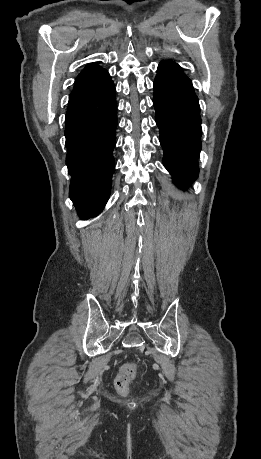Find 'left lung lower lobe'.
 Segmentation results:
<instances>
[{
    "instance_id": "obj_1",
    "label": "left lung lower lobe",
    "mask_w": 261,
    "mask_h": 459,
    "mask_svg": "<svg viewBox=\"0 0 261 459\" xmlns=\"http://www.w3.org/2000/svg\"><path fill=\"white\" fill-rule=\"evenodd\" d=\"M153 104L164 150L163 164L175 183L187 188L198 176L202 130L198 98L178 64H159Z\"/></svg>"
}]
</instances>
